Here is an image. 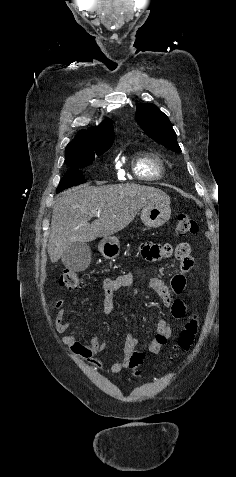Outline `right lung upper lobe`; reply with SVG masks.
Returning a JSON list of instances; mask_svg holds the SVG:
<instances>
[{
    "mask_svg": "<svg viewBox=\"0 0 236 477\" xmlns=\"http://www.w3.org/2000/svg\"><path fill=\"white\" fill-rule=\"evenodd\" d=\"M114 141L112 121L107 118L97 127L82 130L66 147V160L111 147Z\"/></svg>",
    "mask_w": 236,
    "mask_h": 477,
    "instance_id": "right-lung-upper-lobe-1",
    "label": "right lung upper lobe"
}]
</instances>
